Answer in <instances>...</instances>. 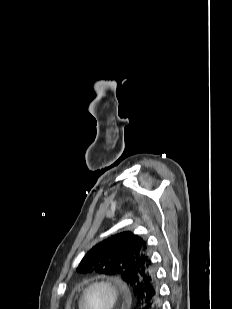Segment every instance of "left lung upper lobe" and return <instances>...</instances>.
<instances>
[{"mask_svg":"<svg viewBox=\"0 0 232 309\" xmlns=\"http://www.w3.org/2000/svg\"><path fill=\"white\" fill-rule=\"evenodd\" d=\"M146 242L126 231L100 242L84 256L77 271L121 277L139 302L155 281Z\"/></svg>","mask_w":232,"mask_h":309,"instance_id":"left-lung-upper-lobe-1","label":"left lung upper lobe"}]
</instances>
